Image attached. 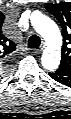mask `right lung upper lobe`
I'll return each instance as SVG.
<instances>
[{"mask_svg":"<svg viewBox=\"0 0 71 119\" xmlns=\"http://www.w3.org/2000/svg\"><path fill=\"white\" fill-rule=\"evenodd\" d=\"M1 42H2V45H3V46H1V48L4 49V55H9L13 51L16 50V44L13 41L6 38L5 36L1 37Z\"/></svg>","mask_w":71,"mask_h":119,"instance_id":"cb5924a9","label":"right lung upper lobe"}]
</instances>
